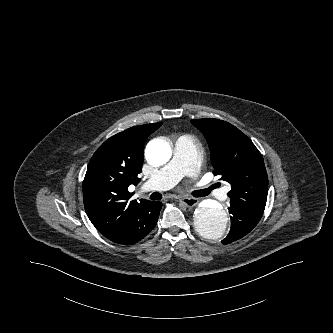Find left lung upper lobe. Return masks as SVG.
I'll return each instance as SVG.
<instances>
[{
	"mask_svg": "<svg viewBox=\"0 0 333 333\" xmlns=\"http://www.w3.org/2000/svg\"><path fill=\"white\" fill-rule=\"evenodd\" d=\"M205 136L211 151L214 175L231 185L230 203L263 212L268 177L261 153L252 141L232 124L218 119L191 121Z\"/></svg>",
	"mask_w": 333,
	"mask_h": 333,
	"instance_id": "left-lung-upper-lobe-1",
	"label": "left lung upper lobe"
}]
</instances>
